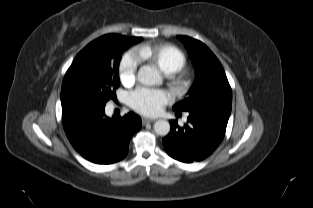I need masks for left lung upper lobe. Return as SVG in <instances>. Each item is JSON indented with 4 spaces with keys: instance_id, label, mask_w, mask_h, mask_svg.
Here are the masks:
<instances>
[{
    "instance_id": "1",
    "label": "left lung upper lobe",
    "mask_w": 313,
    "mask_h": 208,
    "mask_svg": "<svg viewBox=\"0 0 313 208\" xmlns=\"http://www.w3.org/2000/svg\"><path fill=\"white\" fill-rule=\"evenodd\" d=\"M188 49L196 71V80L188 97L174 105L175 111L201 110L231 113L232 90L224 69L213 52L202 42L178 36Z\"/></svg>"
}]
</instances>
